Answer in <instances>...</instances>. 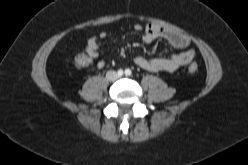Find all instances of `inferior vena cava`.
<instances>
[{
  "label": "inferior vena cava",
  "mask_w": 248,
  "mask_h": 165,
  "mask_svg": "<svg viewBox=\"0 0 248 165\" xmlns=\"http://www.w3.org/2000/svg\"><path fill=\"white\" fill-rule=\"evenodd\" d=\"M106 77L111 81H115L118 78V75L115 71H109L107 72Z\"/></svg>",
  "instance_id": "inferior-vena-cava-1"
}]
</instances>
